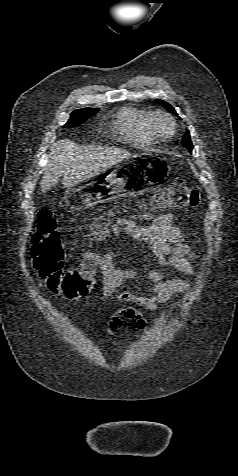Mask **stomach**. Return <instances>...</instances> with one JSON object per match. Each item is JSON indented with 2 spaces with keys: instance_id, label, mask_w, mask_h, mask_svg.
I'll return each instance as SVG.
<instances>
[{
  "instance_id": "stomach-1",
  "label": "stomach",
  "mask_w": 238,
  "mask_h": 476,
  "mask_svg": "<svg viewBox=\"0 0 238 476\" xmlns=\"http://www.w3.org/2000/svg\"><path fill=\"white\" fill-rule=\"evenodd\" d=\"M170 170L163 156H124L92 179L67 188L64 200L73 210H85L121 195H142L155 190ZM165 173V174H164Z\"/></svg>"
}]
</instances>
